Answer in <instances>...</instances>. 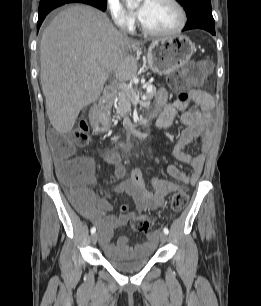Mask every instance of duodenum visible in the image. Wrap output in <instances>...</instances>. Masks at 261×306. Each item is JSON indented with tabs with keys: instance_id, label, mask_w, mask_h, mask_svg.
Instances as JSON below:
<instances>
[{
	"instance_id": "1",
	"label": "duodenum",
	"mask_w": 261,
	"mask_h": 306,
	"mask_svg": "<svg viewBox=\"0 0 261 306\" xmlns=\"http://www.w3.org/2000/svg\"><path fill=\"white\" fill-rule=\"evenodd\" d=\"M116 97H117V89L113 86H107L104 91V98H103L101 105L103 107L109 106L110 103H112L116 99ZM131 146L132 144L129 142L123 141L121 143V147L123 149H128Z\"/></svg>"
}]
</instances>
